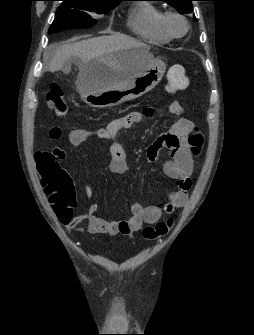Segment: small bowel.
<instances>
[{
	"instance_id": "small-bowel-1",
	"label": "small bowel",
	"mask_w": 254,
	"mask_h": 335,
	"mask_svg": "<svg viewBox=\"0 0 254 335\" xmlns=\"http://www.w3.org/2000/svg\"><path fill=\"white\" fill-rule=\"evenodd\" d=\"M167 115H183L184 110L181 107L178 98L170 101L166 110ZM152 114L151 109H145L142 112H131L124 116L111 120L104 128L74 129L69 133V142L73 147H78L82 143L91 139H101L109 143L110 162L108 168L112 173L122 174L126 172L128 166L126 162V152L122 144L118 141L120 131L131 128L133 124L138 123L143 116ZM193 127L190 120L185 118L178 119L170 131L158 137L146 149L149 161H155L162 149L169 151V160L164 164L165 174L178 181L176 190L169 194V201L163 207L149 205L143 206L135 201L130 205L131 217L128 220L116 221L105 220L95 215L98 210V204L91 203L85 212L74 215L73 206L65 205L61 209L59 219L66 229L71 230L79 225L83 220L88 219V229L91 233H103L110 236L129 235L139 231L143 224H155L164 213H171L176 208L186 205L188 200V191L191 188L190 178L193 160L188 147V135ZM63 132L60 127H52L49 131V137L52 140L62 138ZM65 153L61 151L58 160L65 159ZM91 189L86 188V198L91 197ZM49 202L53 205L51 197Z\"/></svg>"
}]
</instances>
